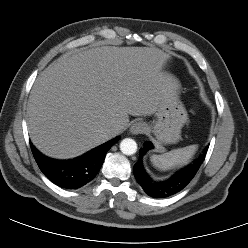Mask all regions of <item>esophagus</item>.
I'll return each instance as SVG.
<instances>
[{"label":"esophagus","instance_id":"1","mask_svg":"<svg viewBox=\"0 0 248 248\" xmlns=\"http://www.w3.org/2000/svg\"><path fill=\"white\" fill-rule=\"evenodd\" d=\"M145 131V126L142 122H134L130 127V132L133 135L141 134Z\"/></svg>","mask_w":248,"mask_h":248}]
</instances>
